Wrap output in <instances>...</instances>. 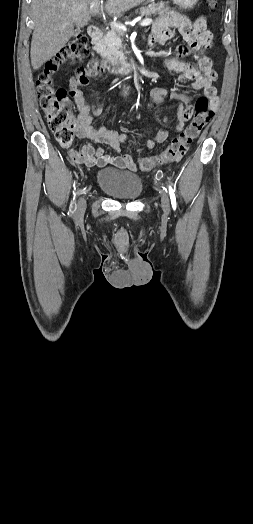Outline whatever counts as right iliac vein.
<instances>
[{"mask_svg": "<svg viewBox=\"0 0 253 524\" xmlns=\"http://www.w3.org/2000/svg\"><path fill=\"white\" fill-rule=\"evenodd\" d=\"M85 209H86V200H85V196L83 195L78 199L77 206H76V215L78 217L82 216L84 214Z\"/></svg>", "mask_w": 253, "mask_h": 524, "instance_id": "1", "label": "right iliac vein"}]
</instances>
